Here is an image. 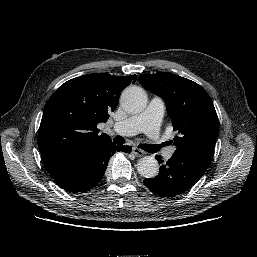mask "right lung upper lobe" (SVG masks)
I'll return each mask as SVG.
<instances>
[{"label":"right lung upper lobe","mask_w":257,"mask_h":257,"mask_svg":"<svg viewBox=\"0 0 257 257\" xmlns=\"http://www.w3.org/2000/svg\"><path fill=\"white\" fill-rule=\"evenodd\" d=\"M136 75L119 77L93 73L71 79L49 98L38 132V145L47 172L84 152L112 143L97 124L106 122L125 87Z\"/></svg>","instance_id":"1"}]
</instances>
